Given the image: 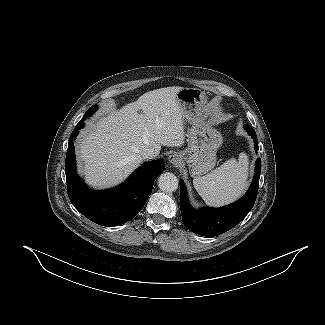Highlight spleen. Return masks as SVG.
Masks as SVG:
<instances>
[{"instance_id": "3e777b00", "label": "spleen", "mask_w": 325, "mask_h": 325, "mask_svg": "<svg viewBox=\"0 0 325 325\" xmlns=\"http://www.w3.org/2000/svg\"><path fill=\"white\" fill-rule=\"evenodd\" d=\"M248 156L242 152L202 177H195L193 185L210 206H221L237 199L247 188Z\"/></svg>"}]
</instances>
